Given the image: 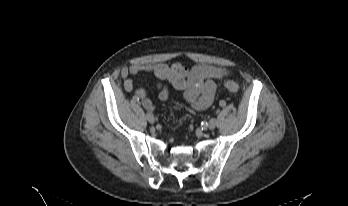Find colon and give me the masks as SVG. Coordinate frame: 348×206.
<instances>
[{"label": "colon", "mask_w": 348, "mask_h": 206, "mask_svg": "<svg viewBox=\"0 0 348 206\" xmlns=\"http://www.w3.org/2000/svg\"><path fill=\"white\" fill-rule=\"evenodd\" d=\"M224 88L231 94H237L239 91V85L232 79H225L223 82Z\"/></svg>", "instance_id": "5ec220e1"}]
</instances>
